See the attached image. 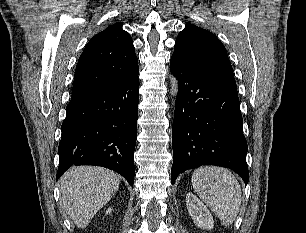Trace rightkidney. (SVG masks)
Masks as SVG:
<instances>
[{"label":"right kidney","mask_w":306,"mask_h":233,"mask_svg":"<svg viewBox=\"0 0 306 233\" xmlns=\"http://www.w3.org/2000/svg\"><path fill=\"white\" fill-rule=\"evenodd\" d=\"M111 208H109L107 211H106V214H108V213H111Z\"/></svg>","instance_id":"1"}]
</instances>
